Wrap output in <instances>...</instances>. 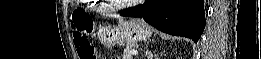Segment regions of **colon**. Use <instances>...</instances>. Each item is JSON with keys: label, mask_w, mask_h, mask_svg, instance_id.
<instances>
[{"label": "colon", "mask_w": 261, "mask_h": 59, "mask_svg": "<svg viewBox=\"0 0 261 59\" xmlns=\"http://www.w3.org/2000/svg\"><path fill=\"white\" fill-rule=\"evenodd\" d=\"M71 30L74 38V45L80 59H97V53L89 40L94 31L90 18L81 12L75 11L70 20Z\"/></svg>", "instance_id": "obj_1"}]
</instances>
